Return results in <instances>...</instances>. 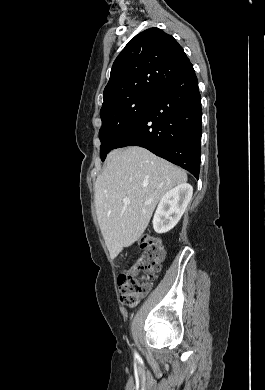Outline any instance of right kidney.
<instances>
[{
	"label": "right kidney",
	"mask_w": 265,
	"mask_h": 390,
	"mask_svg": "<svg viewBox=\"0 0 265 390\" xmlns=\"http://www.w3.org/2000/svg\"><path fill=\"white\" fill-rule=\"evenodd\" d=\"M192 194V186L183 183L162 196L153 217L155 232L166 233L174 228L185 212Z\"/></svg>",
	"instance_id": "right-kidney-1"
}]
</instances>
